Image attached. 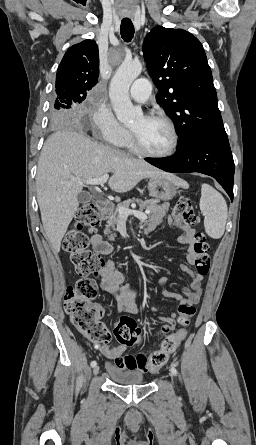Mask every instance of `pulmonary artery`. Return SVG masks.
I'll use <instances>...</instances> for the list:
<instances>
[{
  "label": "pulmonary artery",
  "mask_w": 256,
  "mask_h": 445,
  "mask_svg": "<svg viewBox=\"0 0 256 445\" xmlns=\"http://www.w3.org/2000/svg\"><path fill=\"white\" fill-rule=\"evenodd\" d=\"M131 98L139 103L146 102L151 94V83L148 79L140 78L134 81L130 88Z\"/></svg>",
  "instance_id": "obj_1"
}]
</instances>
